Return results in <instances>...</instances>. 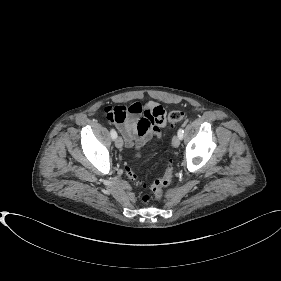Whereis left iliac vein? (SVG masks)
<instances>
[{
  "instance_id": "1",
  "label": "left iliac vein",
  "mask_w": 281,
  "mask_h": 281,
  "mask_svg": "<svg viewBox=\"0 0 281 281\" xmlns=\"http://www.w3.org/2000/svg\"><path fill=\"white\" fill-rule=\"evenodd\" d=\"M181 138L178 135H175L172 139V145L177 148L180 145Z\"/></svg>"
}]
</instances>
